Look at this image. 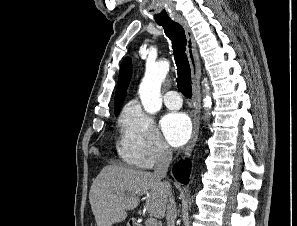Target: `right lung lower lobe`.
I'll use <instances>...</instances> for the list:
<instances>
[{
    "mask_svg": "<svg viewBox=\"0 0 297 226\" xmlns=\"http://www.w3.org/2000/svg\"><path fill=\"white\" fill-rule=\"evenodd\" d=\"M191 164L189 160H181L173 166V174L175 178L183 183L187 184L189 182V172H190Z\"/></svg>",
    "mask_w": 297,
    "mask_h": 226,
    "instance_id": "right-lung-lower-lobe-1",
    "label": "right lung lower lobe"
}]
</instances>
